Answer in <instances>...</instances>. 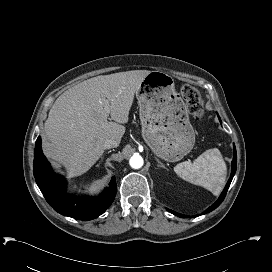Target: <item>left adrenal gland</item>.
<instances>
[{
    "instance_id": "a2214340",
    "label": "left adrenal gland",
    "mask_w": 272,
    "mask_h": 272,
    "mask_svg": "<svg viewBox=\"0 0 272 272\" xmlns=\"http://www.w3.org/2000/svg\"><path fill=\"white\" fill-rule=\"evenodd\" d=\"M155 159H156V161H157V163H158V167L167 169L159 159H157V158H155Z\"/></svg>"
}]
</instances>
